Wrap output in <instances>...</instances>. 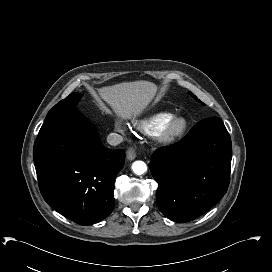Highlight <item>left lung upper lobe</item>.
<instances>
[{
	"label": "left lung upper lobe",
	"instance_id": "left-lung-upper-lobe-1",
	"mask_svg": "<svg viewBox=\"0 0 272 272\" xmlns=\"http://www.w3.org/2000/svg\"><path fill=\"white\" fill-rule=\"evenodd\" d=\"M197 101L201 102L195 95H193L192 93H190ZM202 103V102H201Z\"/></svg>",
	"mask_w": 272,
	"mask_h": 272
}]
</instances>
